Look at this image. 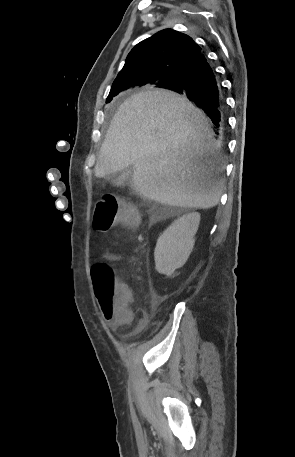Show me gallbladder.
<instances>
[{"label":"gallbladder","mask_w":295,"mask_h":457,"mask_svg":"<svg viewBox=\"0 0 295 457\" xmlns=\"http://www.w3.org/2000/svg\"><path fill=\"white\" fill-rule=\"evenodd\" d=\"M133 171V167H128L122 172L109 175L107 178L115 186H124L131 183Z\"/></svg>","instance_id":"obj_1"}]
</instances>
